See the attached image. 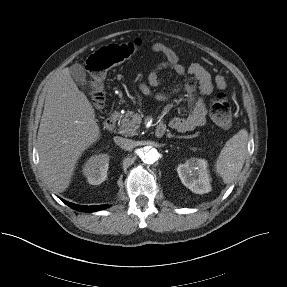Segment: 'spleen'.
Returning a JSON list of instances; mask_svg holds the SVG:
<instances>
[{"instance_id": "spleen-1", "label": "spleen", "mask_w": 287, "mask_h": 287, "mask_svg": "<svg viewBox=\"0 0 287 287\" xmlns=\"http://www.w3.org/2000/svg\"><path fill=\"white\" fill-rule=\"evenodd\" d=\"M247 144L248 131L241 129L221 150L215 162V171L224 183H232L241 172L247 156Z\"/></svg>"}]
</instances>
